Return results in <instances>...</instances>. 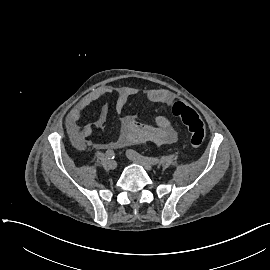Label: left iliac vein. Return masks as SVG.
<instances>
[{"label": "left iliac vein", "mask_w": 270, "mask_h": 270, "mask_svg": "<svg viewBox=\"0 0 270 270\" xmlns=\"http://www.w3.org/2000/svg\"><path fill=\"white\" fill-rule=\"evenodd\" d=\"M127 157L133 161L134 163L136 164H139V165H142L145 169L147 170H150L152 168L151 164L143 159H138V158H135L133 157L132 155H130L128 152H127Z\"/></svg>", "instance_id": "1"}]
</instances>
